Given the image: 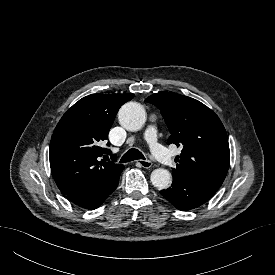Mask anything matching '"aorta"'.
<instances>
[{
  "mask_svg": "<svg viewBox=\"0 0 275 275\" xmlns=\"http://www.w3.org/2000/svg\"><path fill=\"white\" fill-rule=\"evenodd\" d=\"M118 119L126 130L138 131L146 122V113L141 104L128 102L120 108ZM150 180L154 187L160 190L167 189L171 182V174L166 169L158 168L153 170Z\"/></svg>",
  "mask_w": 275,
  "mask_h": 275,
  "instance_id": "aorta-1",
  "label": "aorta"
}]
</instances>
